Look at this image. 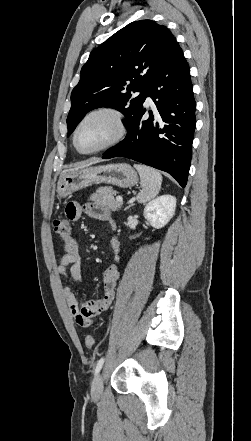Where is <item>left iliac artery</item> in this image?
Here are the masks:
<instances>
[{
    "label": "left iliac artery",
    "instance_id": "44dca946",
    "mask_svg": "<svg viewBox=\"0 0 251 441\" xmlns=\"http://www.w3.org/2000/svg\"><path fill=\"white\" fill-rule=\"evenodd\" d=\"M103 363H104V358L102 357L98 360V362L96 364V368H95V372H94L95 375H97L99 373V371L101 370V368L103 366Z\"/></svg>",
    "mask_w": 251,
    "mask_h": 441
}]
</instances>
